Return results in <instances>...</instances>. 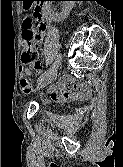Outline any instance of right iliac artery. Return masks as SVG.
Wrapping results in <instances>:
<instances>
[{"instance_id": "82829eb1", "label": "right iliac artery", "mask_w": 123, "mask_h": 167, "mask_svg": "<svg viewBox=\"0 0 123 167\" xmlns=\"http://www.w3.org/2000/svg\"><path fill=\"white\" fill-rule=\"evenodd\" d=\"M61 55L59 54L55 60V62L53 63V65L47 70L45 71L39 78V82H41L50 72L53 68H55L56 66H58L61 63Z\"/></svg>"}]
</instances>
